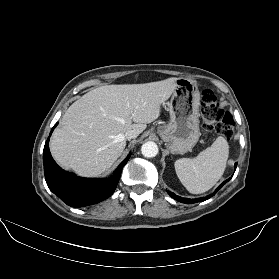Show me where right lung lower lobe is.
I'll list each match as a JSON object with an SVG mask.
<instances>
[{
	"mask_svg": "<svg viewBox=\"0 0 279 279\" xmlns=\"http://www.w3.org/2000/svg\"><path fill=\"white\" fill-rule=\"evenodd\" d=\"M130 156L131 153L118 166L113 176L107 179L81 178L64 171L56 164L50 154L48 137L43 150L45 180L49 189L67 205L71 207L92 205L112 195L120 179L121 170Z\"/></svg>",
	"mask_w": 279,
	"mask_h": 279,
	"instance_id": "1",
	"label": "right lung lower lobe"
}]
</instances>
